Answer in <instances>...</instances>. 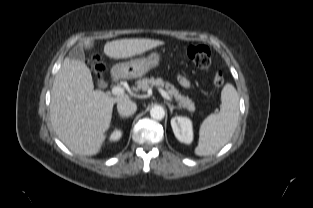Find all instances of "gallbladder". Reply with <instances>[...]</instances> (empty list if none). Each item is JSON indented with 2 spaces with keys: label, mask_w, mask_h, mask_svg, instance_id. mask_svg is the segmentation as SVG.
Wrapping results in <instances>:
<instances>
[{
  "label": "gallbladder",
  "mask_w": 313,
  "mask_h": 208,
  "mask_svg": "<svg viewBox=\"0 0 313 208\" xmlns=\"http://www.w3.org/2000/svg\"><path fill=\"white\" fill-rule=\"evenodd\" d=\"M69 56L71 57V59L73 61H78L84 64L85 62V54H84V50L81 44H78L76 46H74L70 52H69ZM106 83L103 80H99L98 81V86L100 88L105 87Z\"/></svg>",
  "instance_id": "obj_1"
}]
</instances>
